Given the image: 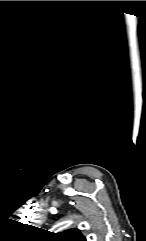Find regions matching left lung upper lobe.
I'll return each instance as SVG.
<instances>
[{
  "label": "left lung upper lobe",
  "instance_id": "obj_1",
  "mask_svg": "<svg viewBox=\"0 0 146 241\" xmlns=\"http://www.w3.org/2000/svg\"><path fill=\"white\" fill-rule=\"evenodd\" d=\"M57 241H86L78 229H69L62 233H57Z\"/></svg>",
  "mask_w": 146,
  "mask_h": 241
}]
</instances>
